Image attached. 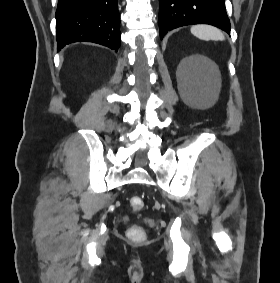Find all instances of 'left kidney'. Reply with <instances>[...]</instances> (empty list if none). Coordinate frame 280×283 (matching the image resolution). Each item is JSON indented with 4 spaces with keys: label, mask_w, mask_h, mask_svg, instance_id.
Listing matches in <instances>:
<instances>
[{
    "label": "left kidney",
    "mask_w": 280,
    "mask_h": 283,
    "mask_svg": "<svg viewBox=\"0 0 280 283\" xmlns=\"http://www.w3.org/2000/svg\"><path fill=\"white\" fill-rule=\"evenodd\" d=\"M198 59H205V58L202 57V56H195V57H191V58L186 59L184 62L185 63H193V62L197 61Z\"/></svg>",
    "instance_id": "1"
}]
</instances>
